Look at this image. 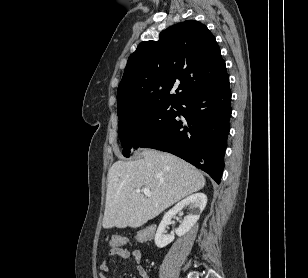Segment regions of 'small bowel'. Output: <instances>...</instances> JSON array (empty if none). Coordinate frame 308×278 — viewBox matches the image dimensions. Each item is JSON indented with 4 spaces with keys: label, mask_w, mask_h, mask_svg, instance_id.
Segmentation results:
<instances>
[{
    "label": "small bowel",
    "mask_w": 308,
    "mask_h": 278,
    "mask_svg": "<svg viewBox=\"0 0 308 278\" xmlns=\"http://www.w3.org/2000/svg\"><path fill=\"white\" fill-rule=\"evenodd\" d=\"M112 258L116 259H128L132 258L135 262L136 268L141 278H149L146 269L142 266V254L139 249L129 250L127 248H113L108 257L104 259L100 265L101 273L100 278H109L107 272L110 270V260Z\"/></svg>",
    "instance_id": "c3829d8e"
}]
</instances>
